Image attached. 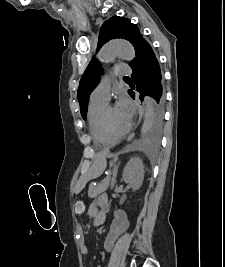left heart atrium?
<instances>
[{
    "instance_id": "1",
    "label": "left heart atrium",
    "mask_w": 225,
    "mask_h": 267,
    "mask_svg": "<svg viewBox=\"0 0 225 267\" xmlns=\"http://www.w3.org/2000/svg\"><path fill=\"white\" fill-rule=\"evenodd\" d=\"M119 115L121 116V118L123 119V121L129 125L131 118H132V104L129 100V98L125 95H122L119 98L117 107H116Z\"/></svg>"
}]
</instances>
